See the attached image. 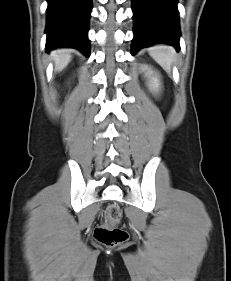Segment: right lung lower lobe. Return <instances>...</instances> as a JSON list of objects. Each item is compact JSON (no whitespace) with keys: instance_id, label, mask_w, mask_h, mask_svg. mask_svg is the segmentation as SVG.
<instances>
[{"instance_id":"98d812e1","label":"right lung lower lobe","mask_w":231,"mask_h":281,"mask_svg":"<svg viewBox=\"0 0 231 281\" xmlns=\"http://www.w3.org/2000/svg\"><path fill=\"white\" fill-rule=\"evenodd\" d=\"M46 51L73 47L90 54L88 24L91 0H47Z\"/></svg>"}]
</instances>
